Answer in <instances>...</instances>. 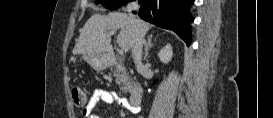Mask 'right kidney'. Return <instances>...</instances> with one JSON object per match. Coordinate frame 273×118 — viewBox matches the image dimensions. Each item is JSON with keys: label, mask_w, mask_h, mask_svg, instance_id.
<instances>
[{"label": "right kidney", "mask_w": 273, "mask_h": 118, "mask_svg": "<svg viewBox=\"0 0 273 118\" xmlns=\"http://www.w3.org/2000/svg\"><path fill=\"white\" fill-rule=\"evenodd\" d=\"M172 56H173V52H172V47L170 44H167L158 53V57H159L160 61L165 64L168 63L172 59Z\"/></svg>", "instance_id": "obj_1"}]
</instances>
